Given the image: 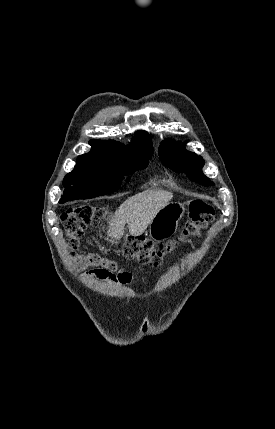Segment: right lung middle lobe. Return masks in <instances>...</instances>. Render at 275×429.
<instances>
[{
	"instance_id": "dd1d6c3e",
	"label": "right lung middle lobe",
	"mask_w": 275,
	"mask_h": 429,
	"mask_svg": "<svg viewBox=\"0 0 275 429\" xmlns=\"http://www.w3.org/2000/svg\"><path fill=\"white\" fill-rule=\"evenodd\" d=\"M151 156H123L109 163H77L63 181L64 192L60 202L89 199L119 189L122 180L149 164Z\"/></svg>"
}]
</instances>
